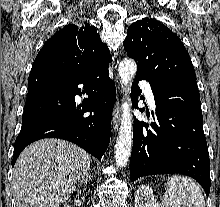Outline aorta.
<instances>
[{"mask_svg":"<svg viewBox=\"0 0 220 207\" xmlns=\"http://www.w3.org/2000/svg\"><path fill=\"white\" fill-rule=\"evenodd\" d=\"M137 71L136 62L133 59L125 58L118 67V73L121 78V85L127 93L131 86ZM132 114L131 102L127 96V100L122 104L121 125L115 145V162L118 167H125L129 161L132 149Z\"/></svg>","mask_w":220,"mask_h":207,"instance_id":"1","label":"aorta"}]
</instances>
